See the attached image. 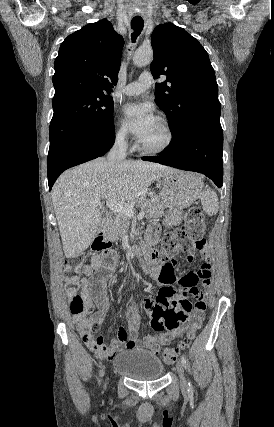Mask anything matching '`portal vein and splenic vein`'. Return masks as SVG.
<instances>
[{
  "instance_id": "1",
  "label": "portal vein and splenic vein",
  "mask_w": 274,
  "mask_h": 427,
  "mask_svg": "<svg viewBox=\"0 0 274 427\" xmlns=\"http://www.w3.org/2000/svg\"><path fill=\"white\" fill-rule=\"evenodd\" d=\"M97 204V202H95ZM107 208L109 210H113V212H116V214H124L128 215V217H132L134 215V204H124V202H115V200H107L106 202ZM144 212H140L139 215H137L138 219H142Z\"/></svg>"
}]
</instances>
